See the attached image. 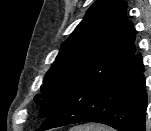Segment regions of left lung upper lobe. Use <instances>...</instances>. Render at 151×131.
Returning <instances> with one entry per match:
<instances>
[{"label": "left lung upper lobe", "mask_w": 151, "mask_h": 131, "mask_svg": "<svg viewBox=\"0 0 151 131\" xmlns=\"http://www.w3.org/2000/svg\"><path fill=\"white\" fill-rule=\"evenodd\" d=\"M123 0H97L70 37L62 44L56 61L46 73L40 117L47 118L74 84L91 69H111L135 55L136 31L126 17Z\"/></svg>", "instance_id": "1"}]
</instances>
